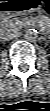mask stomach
<instances>
[{
  "instance_id": "1",
  "label": "stomach",
  "mask_w": 50,
  "mask_h": 111,
  "mask_svg": "<svg viewBox=\"0 0 50 111\" xmlns=\"http://www.w3.org/2000/svg\"><path fill=\"white\" fill-rule=\"evenodd\" d=\"M43 5V0H7L2 7L6 16H19L37 11Z\"/></svg>"
}]
</instances>
